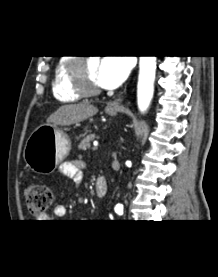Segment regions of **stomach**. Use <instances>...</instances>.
<instances>
[{
  "label": "stomach",
  "instance_id": "obj_1",
  "mask_svg": "<svg viewBox=\"0 0 218 277\" xmlns=\"http://www.w3.org/2000/svg\"><path fill=\"white\" fill-rule=\"evenodd\" d=\"M110 116L117 109H105ZM71 142L65 131L56 124H44L36 128L26 141L23 158L35 173L49 174L68 155Z\"/></svg>",
  "mask_w": 218,
  "mask_h": 277
}]
</instances>
